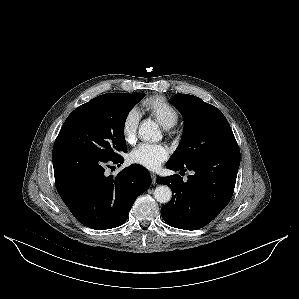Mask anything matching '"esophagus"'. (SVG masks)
<instances>
[{"mask_svg": "<svg viewBox=\"0 0 299 299\" xmlns=\"http://www.w3.org/2000/svg\"><path fill=\"white\" fill-rule=\"evenodd\" d=\"M152 184H156L157 176L154 173H151Z\"/></svg>", "mask_w": 299, "mask_h": 299, "instance_id": "34e87169", "label": "esophagus"}]
</instances>
